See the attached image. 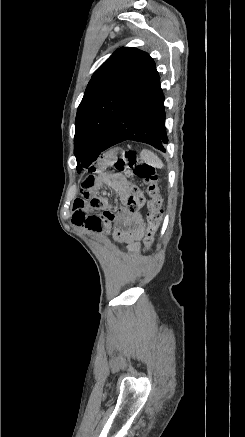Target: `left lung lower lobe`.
<instances>
[{"label": "left lung lower lobe", "mask_w": 245, "mask_h": 437, "mask_svg": "<svg viewBox=\"0 0 245 437\" xmlns=\"http://www.w3.org/2000/svg\"><path fill=\"white\" fill-rule=\"evenodd\" d=\"M125 140L147 143L166 151L164 95L155 66L120 113L102 151Z\"/></svg>", "instance_id": "1"}]
</instances>
